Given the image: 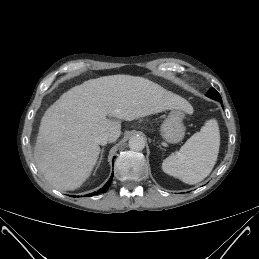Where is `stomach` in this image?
Segmentation results:
<instances>
[{
    "instance_id": "1",
    "label": "stomach",
    "mask_w": 259,
    "mask_h": 259,
    "mask_svg": "<svg viewBox=\"0 0 259 259\" xmlns=\"http://www.w3.org/2000/svg\"><path fill=\"white\" fill-rule=\"evenodd\" d=\"M184 113L179 109H172L160 127L161 137L168 143L176 144L185 136L183 124Z\"/></svg>"
}]
</instances>
